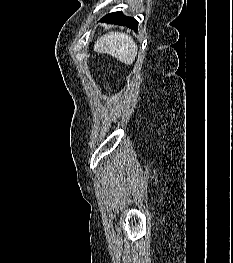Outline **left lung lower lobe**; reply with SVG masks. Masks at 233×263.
<instances>
[{"label":"left lung lower lobe","mask_w":233,"mask_h":263,"mask_svg":"<svg viewBox=\"0 0 233 263\" xmlns=\"http://www.w3.org/2000/svg\"><path fill=\"white\" fill-rule=\"evenodd\" d=\"M101 21L107 23H114L122 26H127L135 31L138 29V22L132 17H126L122 12H112L105 15Z\"/></svg>","instance_id":"left-lung-lower-lobe-1"}]
</instances>
